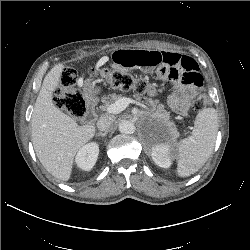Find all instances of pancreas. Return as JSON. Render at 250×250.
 <instances>
[{
	"mask_svg": "<svg viewBox=\"0 0 250 250\" xmlns=\"http://www.w3.org/2000/svg\"><path fill=\"white\" fill-rule=\"evenodd\" d=\"M123 98L122 95L111 94L108 96H104L102 98L103 105L100 106L102 110H106L109 105H111L114 101ZM147 105L150 107V113L153 117L159 118L163 122L168 125L169 130L171 131L174 139L178 137V132L175 125L169 121L170 113L165 110L163 104L159 103V100L147 99Z\"/></svg>",
	"mask_w": 250,
	"mask_h": 250,
	"instance_id": "obj_1",
	"label": "pancreas"
}]
</instances>
